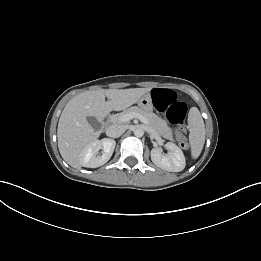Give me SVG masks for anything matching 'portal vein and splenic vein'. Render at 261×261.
Wrapping results in <instances>:
<instances>
[{
  "instance_id": "18ae733b",
  "label": "portal vein and splenic vein",
  "mask_w": 261,
  "mask_h": 261,
  "mask_svg": "<svg viewBox=\"0 0 261 261\" xmlns=\"http://www.w3.org/2000/svg\"><path fill=\"white\" fill-rule=\"evenodd\" d=\"M133 118H138L142 123L148 124V120L146 118H144L142 115L137 114V113L125 114V115L120 117V120L122 122H128V121H130Z\"/></svg>"
}]
</instances>
